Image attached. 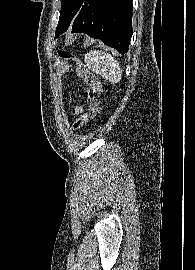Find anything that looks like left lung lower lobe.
<instances>
[{"label":"left lung lower lobe","instance_id":"1","mask_svg":"<svg viewBox=\"0 0 195 270\" xmlns=\"http://www.w3.org/2000/svg\"><path fill=\"white\" fill-rule=\"evenodd\" d=\"M71 26L72 32L99 38L123 54L128 51L132 37V0H85L63 32Z\"/></svg>","mask_w":195,"mask_h":270}]
</instances>
